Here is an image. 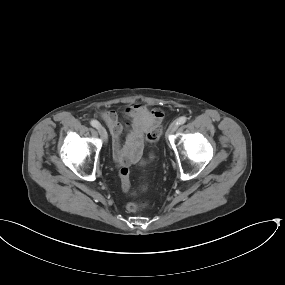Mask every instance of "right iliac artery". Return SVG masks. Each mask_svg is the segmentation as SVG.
Segmentation results:
<instances>
[{"label":"right iliac artery","mask_w":285,"mask_h":285,"mask_svg":"<svg viewBox=\"0 0 285 285\" xmlns=\"http://www.w3.org/2000/svg\"><path fill=\"white\" fill-rule=\"evenodd\" d=\"M90 124L95 128H97L100 125V123L97 120H91Z\"/></svg>","instance_id":"1"}]
</instances>
